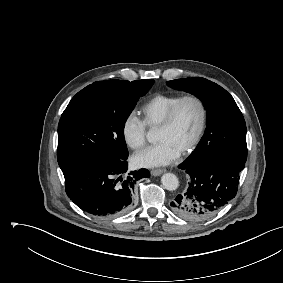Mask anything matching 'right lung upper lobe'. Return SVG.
Wrapping results in <instances>:
<instances>
[{
    "label": "right lung upper lobe",
    "instance_id": "right-lung-upper-lobe-1",
    "mask_svg": "<svg viewBox=\"0 0 283 283\" xmlns=\"http://www.w3.org/2000/svg\"><path fill=\"white\" fill-rule=\"evenodd\" d=\"M115 81H120V80L99 81V82L93 83L92 85L111 84V83H114Z\"/></svg>",
    "mask_w": 283,
    "mask_h": 283
}]
</instances>
